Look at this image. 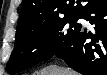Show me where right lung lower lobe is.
Returning a JSON list of instances; mask_svg holds the SVG:
<instances>
[{
  "instance_id": "1",
  "label": "right lung lower lobe",
  "mask_w": 107,
  "mask_h": 75,
  "mask_svg": "<svg viewBox=\"0 0 107 75\" xmlns=\"http://www.w3.org/2000/svg\"><path fill=\"white\" fill-rule=\"evenodd\" d=\"M80 18L95 26L81 29L55 56L83 75H107V1H87Z\"/></svg>"
}]
</instances>
